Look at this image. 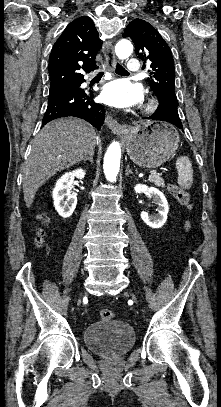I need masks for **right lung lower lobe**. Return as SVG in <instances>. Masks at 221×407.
<instances>
[{
	"label": "right lung lower lobe",
	"instance_id": "obj_1",
	"mask_svg": "<svg viewBox=\"0 0 221 407\" xmlns=\"http://www.w3.org/2000/svg\"><path fill=\"white\" fill-rule=\"evenodd\" d=\"M84 81V78H81L50 90L42 126L57 118L73 116L88 121L100 130L105 118V109L101 104L94 102L92 92L80 88Z\"/></svg>",
	"mask_w": 221,
	"mask_h": 407
}]
</instances>
